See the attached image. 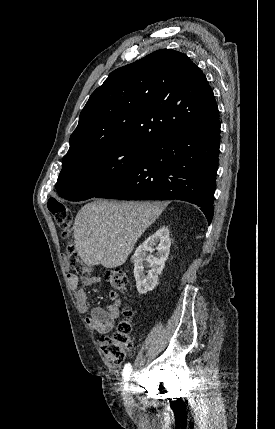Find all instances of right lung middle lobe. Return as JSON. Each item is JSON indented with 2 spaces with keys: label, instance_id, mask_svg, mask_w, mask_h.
<instances>
[{
  "label": "right lung middle lobe",
  "instance_id": "dd1d6c3e",
  "mask_svg": "<svg viewBox=\"0 0 275 429\" xmlns=\"http://www.w3.org/2000/svg\"><path fill=\"white\" fill-rule=\"evenodd\" d=\"M148 149L145 145L116 144L69 161L63 164L55 185L58 194L70 201L92 198L137 168Z\"/></svg>",
  "mask_w": 275,
  "mask_h": 429
}]
</instances>
